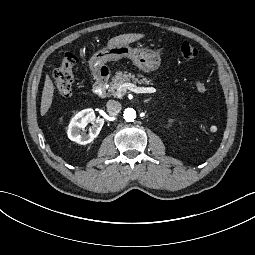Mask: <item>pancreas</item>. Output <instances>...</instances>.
<instances>
[{"instance_id": "1", "label": "pancreas", "mask_w": 255, "mask_h": 255, "mask_svg": "<svg viewBox=\"0 0 255 255\" xmlns=\"http://www.w3.org/2000/svg\"><path fill=\"white\" fill-rule=\"evenodd\" d=\"M132 82L133 84H139V85H148L152 82V78H146L143 75H136L127 71L121 72L117 71L116 76L113 78L112 87L110 88V91L114 94L119 86L123 84H128ZM153 85V83H151ZM182 109H184V106H181Z\"/></svg>"}]
</instances>
